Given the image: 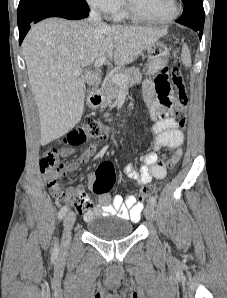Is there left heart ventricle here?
Masks as SVG:
<instances>
[{
    "label": "left heart ventricle",
    "mask_w": 227,
    "mask_h": 298,
    "mask_svg": "<svg viewBox=\"0 0 227 298\" xmlns=\"http://www.w3.org/2000/svg\"><path fill=\"white\" fill-rule=\"evenodd\" d=\"M133 7L142 15L161 19L172 13V0H130Z\"/></svg>",
    "instance_id": "left-heart-ventricle-1"
}]
</instances>
